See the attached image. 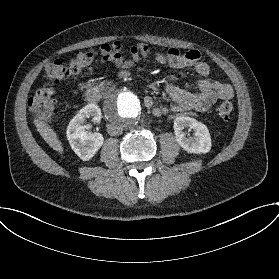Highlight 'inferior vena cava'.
<instances>
[{"label":"inferior vena cava","instance_id":"1","mask_svg":"<svg viewBox=\"0 0 279 279\" xmlns=\"http://www.w3.org/2000/svg\"><path fill=\"white\" fill-rule=\"evenodd\" d=\"M107 132L110 136H118L123 133V128L115 123L107 125Z\"/></svg>","mask_w":279,"mask_h":279}]
</instances>
